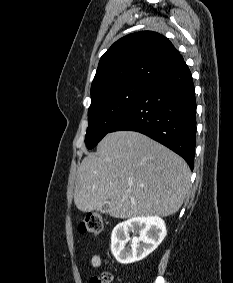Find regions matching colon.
<instances>
[{
    "instance_id": "obj_1",
    "label": "colon",
    "mask_w": 233,
    "mask_h": 283,
    "mask_svg": "<svg viewBox=\"0 0 233 283\" xmlns=\"http://www.w3.org/2000/svg\"><path fill=\"white\" fill-rule=\"evenodd\" d=\"M103 228L102 219L99 215L88 214L79 225V231L88 236H98ZM112 275L109 272L103 273L100 277H94L90 283H111Z\"/></svg>"
}]
</instances>
